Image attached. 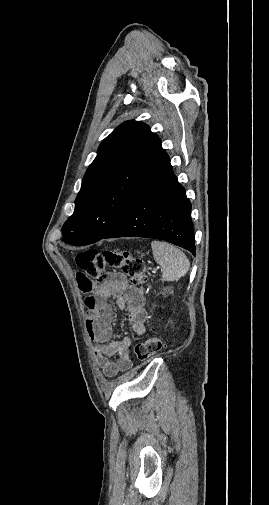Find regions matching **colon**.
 I'll list each match as a JSON object with an SVG mask.
<instances>
[{"instance_id": "1", "label": "colon", "mask_w": 269, "mask_h": 505, "mask_svg": "<svg viewBox=\"0 0 269 505\" xmlns=\"http://www.w3.org/2000/svg\"><path fill=\"white\" fill-rule=\"evenodd\" d=\"M76 264L79 269H84L85 273L89 274L91 281H100L106 267L122 269L134 285H141L147 281L143 260L126 251L88 249L77 254ZM162 347L163 342L160 338L151 337L137 344L134 352L139 360H147L156 355Z\"/></svg>"}]
</instances>
